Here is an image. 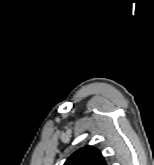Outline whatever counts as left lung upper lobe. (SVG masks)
Here are the masks:
<instances>
[{
  "label": "left lung upper lobe",
  "instance_id": "obj_1",
  "mask_svg": "<svg viewBox=\"0 0 154 165\" xmlns=\"http://www.w3.org/2000/svg\"><path fill=\"white\" fill-rule=\"evenodd\" d=\"M64 165H106V163L100 151L91 146H85L73 153Z\"/></svg>",
  "mask_w": 154,
  "mask_h": 165
}]
</instances>
